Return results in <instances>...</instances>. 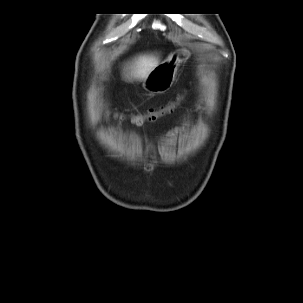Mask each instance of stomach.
Here are the masks:
<instances>
[{"label": "stomach", "instance_id": "0dacf381", "mask_svg": "<svg viewBox=\"0 0 303 303\" xmlns=\"http://www.w3.org/2000/svg\"><path fill=\"white\" fill-rule=\"evenodd\" d=\"M184 51H176L159 63L143 82V87L150 93H164L172 86L177 73L178 65L187 58Z\"/></svg>", "mask_w": 303, "mask_h": 303}]
</instances>
